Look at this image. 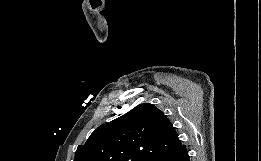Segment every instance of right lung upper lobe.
<instances>
[{
    "label": "right lung upper lobe",
    "instance_id": "1",
    "mask_svg": "<svg viewBox=\"0 0 261 161\" xmlns=\"http://www.w3.org/2000/svg\"><path fill=\"white\" fill-rule=\"evenodd\" d=\"M181 145L163 112L143 103L99 126L78 146L74 161H150Z\"/></svg>",
    "mask_w": 261,
    "mask_h": 161
}]
</instances>
